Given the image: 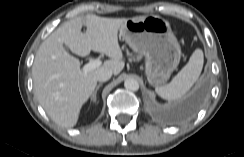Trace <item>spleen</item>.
Here are the masks:
<instances>
[{"label":"spleen","mask_w":244,"mask_h":157,"mask_svg":"<svg viewBox=\"0 0 244 157\" xmlns=\"http://www.w3.org/2000/svg\"><path fill=\"white\" fill-rule=\"evenodd\" d=\"M203 51L196 49L188 63L169 84L155 88L156 93L166 100L181 98L196 82L203 68Z\"/></svg>","instance_id":"spleen-1"}]
</instances>
